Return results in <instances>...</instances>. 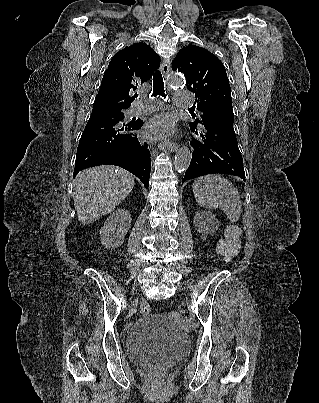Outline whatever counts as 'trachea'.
Wrapping results in <instances>:
<instances>
[{"instance_id": "3493384b", "label": "trachea", "mask_w": 319, "mask_h": 403, "mask_svg": "<svg viewBox=\"0 0 319 403\" xmlns=\"http://www.w3.org/2000/svg\"><path fill=\"white\" fill-rule=\"evenodd\" d=\"M161 95L166 98L164 90L163 77L160 71H156L153 75V93L152 96Z\"/></svg>"}]
</instances>
